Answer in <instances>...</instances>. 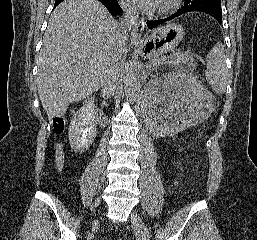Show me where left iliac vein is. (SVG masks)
Segmentation results:
<instances>
[{"label":"left iliac vein","mask_w":257,"mask_h":240,"mask_svg":"<svg viewBox=\"0 0 257 240\" xmlns=\"http://www.w3.org/2000/svg\"><path fill=\"white\" fill-rule=\"evenodd\" d=\"M131 223L137 234L142 238V240L151 239L148 228L136 212H132L131 214Z\"/></svg>","instance_id":"left-iliac-vein-1"}]
</instances>
